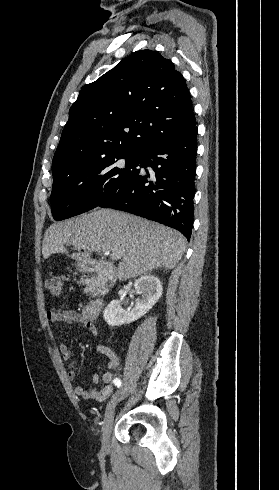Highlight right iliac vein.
Here are the masks:
<instances>
[{
  "instance_id": "63e3f726",
  "label": "right iliac vein",
  "mask_w": 279,
  "mask_h": 490,
  "mask_svg": "<svg viewBox=\"0 0 279 490\" xmlns=\"http://www.w3.org/2000/svg\"><path fill=\"white\" fill-rule=\"evenodd\" d=\"M126 396L122 391H117L109 401L105 413V418L102 424V450L109 451V438L114 424L115 406Z\"/></svg>"
}]
</instances>
